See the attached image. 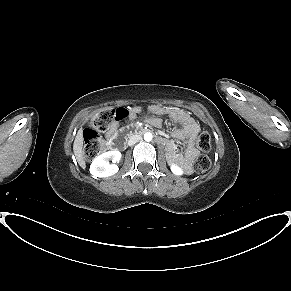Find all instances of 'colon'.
Listing matches in <instances>:
<instances>
[{"mask_svg":"<svg viewBox=\"0 0 291 291\" xmlns=\"http://www.w3.org/2000/svg\"><path fill=\"white\" fill-rule=\"evenodd\" d=\"M128 116L126 108L105 109L95 116L89 122L84 130V156L86 160L91 161L99 154L105 151L106 143L101 138V133L109 130L111 124L116 120H122ZM195 146L200 150V154L195 160V170L204 172L209 169L211 161L207 153L211 149V137L208 132L202 131L195 139Z\"/></svg>","mask_w":291,"mask_h":291,"instance_id":"1","label":"colon"}]
</instances>
